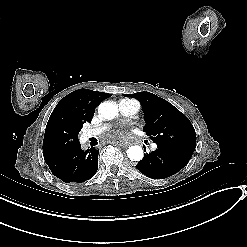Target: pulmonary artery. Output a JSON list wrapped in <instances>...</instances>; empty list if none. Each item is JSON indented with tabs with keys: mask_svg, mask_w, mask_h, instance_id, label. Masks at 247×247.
Wrapping results in <instances>:
<instances>
[{
	"mask_svg": "<svg viewBox=\"0 0 247 247\" xmlns=\"http://www.w3.org/2000/svg\"><path fill=\"white\" fill-rule=\"evenodd\" d=\"M121 111L124 114H132L136 111V107L133 105H124L121 107ZM104 127H105V129L110 130V129H112L113 124H112V122L107 121V122H105ZM94 131L97 134H101V133H103L104 128L101 125H97V126H95ZM149 149L151 152L156 153L159 151L160 146L158 143L153 142L150 144Z\"/></svg>",
	"mask_w": 247,
	"mask_h": 247,
	"instance_id": "1",
	"label": "pulmonary artery"
}]
</instances>
